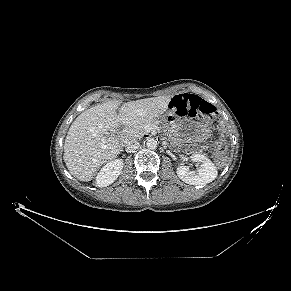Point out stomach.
Instances as JSON below:
<instances>
[{"instance_id": "0dacf381", "label": "stomach", "mask_w": 291, "mask_h": 291, "mask_svg": "<svg viewBox=\"0 0 291 291\" xmlns=\"http://www.w3.org/2000/svg\"><path fill=\"white\" fill-rule=\"evenodd\" d=\"M162 121L169 124L177 123L182 126H188L192 137L197 139L204 138L208 132L201 124L187 117H177L172 114H165L162 117Z\"/></svg>"}]
</instances>
